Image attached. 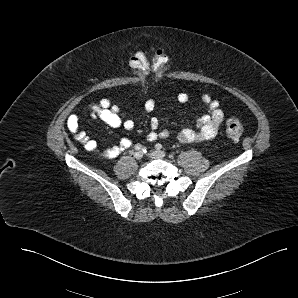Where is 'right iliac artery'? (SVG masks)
Returning <instances> with one entry per match:
<instances>
[{"label":"right iliac artery","mask_w":298,"mask_h":298,"mask_svg":"<svg viewBox=\"0 0 298 298\" xmlns=\"http://www.w3.org/2000/svg\"><path fill=\"white\" fill-rule=\"evenodd\" d=\"M135 150H142L143 152H146V148L145 147H142L141 144H136L135 145Z\"/></svg>","instance_id":"obj_1"}]
</instances>
